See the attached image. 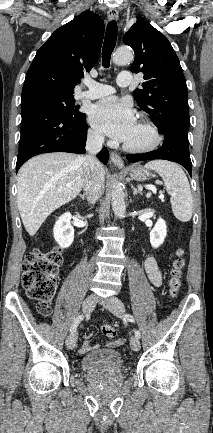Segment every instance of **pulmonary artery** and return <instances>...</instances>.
Listing matches in <instances>:
<instances>
[{"label":"pulmonary artery","mask_w":213,"mask_h":433,"mask_svg":"<svg viewBox=\"0 0 213 433\" xmlns=\"http://www.w3.org/2000/svg\"><path fill=\"white\" fill-rule=\"evenodd\" d=\"M131 84V74L127 71L121 72L117 77V85L119 87H127ZM85 85L87 90L82 91L78 97L80 99H98L106 97L115 92V89L107 84H102L92 80H86Z\"/></svg>","instance_id":"1"}]
</instances>
